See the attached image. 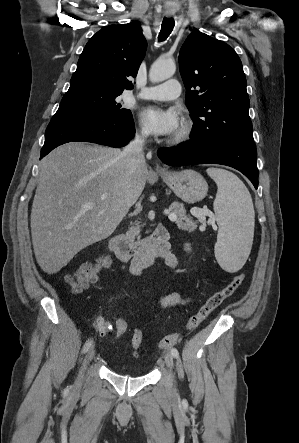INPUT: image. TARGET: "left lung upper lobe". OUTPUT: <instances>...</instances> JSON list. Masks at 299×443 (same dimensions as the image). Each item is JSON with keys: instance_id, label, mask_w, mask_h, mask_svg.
Returning <instances> with one entry per match:
<instances>
[{"instance_id": "left-lung-upper-lobe-1", "label": "left lung upper lobe", "mask_w": 299, "mask_h": 443, "mask_svg": "<svg viewBox=\"0 0 299 443\" xmlns=\"http://www.w3.org/2000/svg\"><path fill=\"white\" fill-rule=\"evenodd\" d=\"M179 68L194 121L191 139L208 143L254 141L247 82L233 48L194 32L182 45Z\"/></svg>"}]
</instances>
